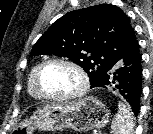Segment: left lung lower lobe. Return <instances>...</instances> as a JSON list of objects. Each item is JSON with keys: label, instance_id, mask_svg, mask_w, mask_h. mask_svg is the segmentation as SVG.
<instances>
[{"label": "left lung lower lobe", "instance_id": "0a47b994", "mask_svg": "<svg viewBox=\"0 0 153 134\" xmlns=\"http://www.w3.org/2000/svg\"><path fill=\"white\" fill-rule=\"evenodd\" d=\"M139 48L123 58L94 87H113L128 102L135 116L140 110L142 92V66Z\"/></svg>", "mask_w": 153, "mask_h": 134}]
</instances>
